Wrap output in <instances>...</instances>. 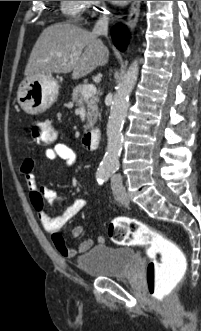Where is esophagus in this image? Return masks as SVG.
Wrapping results in <instances>:
<instances>
[{
    "instance_id": "esophagus-1",
    "label": "esophagus",
    "mask_w": 201,
    "mask_h": 331,
    "mask_svg": "<svg viewBox=\"0 0 201 331\" xmlns=\"http://www.w3.org/2000/svg\"><path fill=\"white\" fill-rule=\"evenodd\" d=\"M140 4L141 1H134L130 8L128 18H127V25L132 30L137 23L139 12H140Z\"/></svg>"
}]
</instances>
